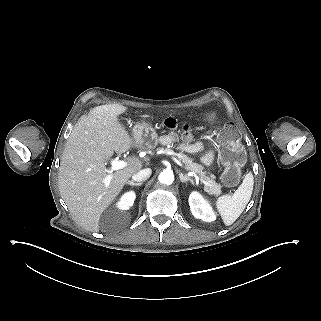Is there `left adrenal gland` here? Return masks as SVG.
I'll return each mask as SVG.
<instances>
[{
    "mask_svg": "<svg viewBox=\"0 0 321 321\" xmlns=\"http://www.w3.org/2000/svg\"><path fill=\"white\" fill-rule=\"evenodd\" d=\"M180 181L182 183H185L187 181H190L194 185V181L187 175H183L182 173L179 174Z\"/></svg>",
    "mask_w": 321,
    "mask_h": 321,
    "instance_id": "obj_1",
    "label": "left adrenal gland"
}]
</instances>
